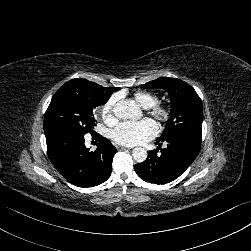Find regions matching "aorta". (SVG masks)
<instances>
[{
    "label": "aorta",
    "mask_w": 251,
    "mask_h": 251,
    "mask_svg": "<svg viewBox=\"0 0 251 251\" xmlns=\"http://www.w3.org/2000/svg\"><path fill=\"white\" fill-rule=\"evenodd\" d=\"M140 110L131 99H122L113 106V115L118 119H133L140 117ZM134 160L143 163L147 159V151L143 148H135L132 151Z\"/></svg>",
    "instance_id": "762f6f07"
}]
</instances>
